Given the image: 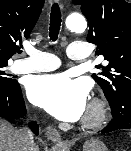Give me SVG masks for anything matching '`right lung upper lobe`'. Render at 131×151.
Wrapping results in <instances>:
<instances>
[{"mask_svg":"<svg viewBox=\"0 0 131 151\" xmlns=\"http://www.w3.org/2000/svg\"><path fill=\"white\" fill-rule=\"evenodd\" d=\"M43 5L44 0H0V63H8L21 38L29 37Z\"/></svg>","mask_w":131,"mask_h":151,"instance_id":"right-lung-upper-lobe-1","label":"right lung upper lobe"}]
</instances>
